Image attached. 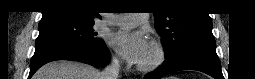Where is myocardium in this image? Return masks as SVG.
I'll return each instance as SVG.
<instances>
[{
    "label": "myocardium",
    "mask_w": 255,
    "mask_h": 79,
    "mask_svg": "<svg viewBox=\"0 0 255 79\" xmlns=\"http://www.w3.org/2000/svg\"><path fill=\"white\" fill-rule=\"evenodd\" d=\"M149 47L152 48L155 52V57L152 62L148 64H139L138 70L142 72H150L158 69L166 60V49L164 45L157 41L152 40L149 44Z\"/></svg>",
    "instance_id": "obj_1"
}]
</instances>
